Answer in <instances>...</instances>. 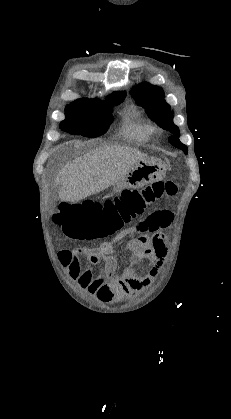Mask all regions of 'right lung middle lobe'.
I'll return each mask as SVG.
<instances>
[{
  "label": "right lung middle lobe",
  "mask_w": 231,
  "mask_h": 419,
  "mask_svg": "<svg viewBox=\"0 0 231 419\" xmlns=\"http://www.w3.org/2000/svg\"><path fill=\"white\" fill-rule=\"evenodd\" d=\"M124 98L108 103H71L65 109L66 119L60 128L68 133L86 137H97L105 133L113 121L112 106L120 104Z\"/></svg>",
  "instance_id": "1"
}]
</instances>
